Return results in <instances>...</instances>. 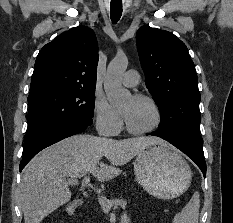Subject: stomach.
<instances>
[{"label": "stomach", "instance_id": "1", "mask_svg": "<svg viewBox=\"0 0 233 223\" xmlns=\"http://www.w3.org/2000/svg\"><path fill=\"white\" fill-rule=\"evenodd\" d=\"M141 187L158 199H173L187 191L192 171L177 149L162 141L142 149L134 161Z\"/></svg>", "mask_w": 233, "mask_h": 223}]
</instances>
